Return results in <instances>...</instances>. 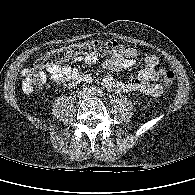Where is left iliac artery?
Wrapping results in <instances>:
<instances>
[{"label":"left iliac artery","mask_w":195,"mask_h":195,"mask_svg":"<svg viewBox=\"0 0 195 195\" xmlns=\"http://www.w3.org/2000/svg\"><path fill=\"white\" fill-rule=\"evenodd\" d=\"M102 93H103L102 90L98 89L97 94L101 96Z\"/></svg>","instance_id":"obj_1"}]
</instances>
